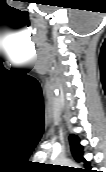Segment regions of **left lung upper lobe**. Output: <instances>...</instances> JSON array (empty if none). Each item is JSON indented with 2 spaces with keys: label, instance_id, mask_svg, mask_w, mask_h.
<instances>
[{
  "label": "left lung upper lobe",
  "instance_id": "1",
  "mask_svg": "<svg viewBox=\"0 0 106 172\" xmlns=\"http://www.w3.org/2000/svg\"><path fill=\"white\" fill-rule=\"evenodd\" d=\"M69 139H70L72 154L75 160L78 162L80 161L85 162V165L87 167L85 171L90 172V164L83 158V147L80 145L78 137L72 134L70 135Z\"/></svg>",
  "mask_w": 106,
  "mask_h": 172
}]
</instances>
